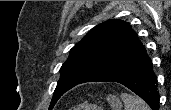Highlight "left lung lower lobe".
<instances>
[{
  "label": "left lung lower lobe",
  "instance_id": "obj_1",
  "mask_svg": "<svg viewBox=\"0 0 171 110\" xmlns=\"http://www.w3.org/2000/svg\"><path fill=\"white\" fill-rule=\"evenodd\" d=\"M151 59L146 55L143 44L120 64L103 72L91 81L117 82L140 96L152 110H159V93Z\"/></svg>",
  "mask_w": 171,
  "mask_h": 110
}]
</instances>
